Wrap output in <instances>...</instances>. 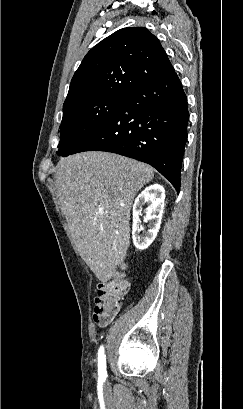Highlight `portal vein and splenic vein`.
I'll return each instance as SVG.
<instances>
[{"mask_svg": "<svg viewBox=\"0 0 243 409\" xmlns=\"http://www.w3.org/2000/svg\"><path fill=\"white\" fill-rule=\"evenodd\" d=\"M99 212H100V213H103V208H100V209H99Z\"/></svg>", "mask_w": 243, "mask_h": 409, "instance_id": "1", "label": "portal vein and splenic vein"}]
</instances>
